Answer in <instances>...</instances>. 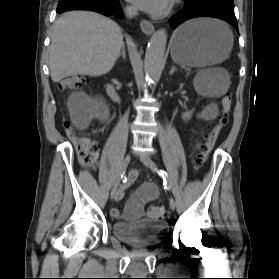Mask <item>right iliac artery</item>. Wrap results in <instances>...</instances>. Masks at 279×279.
Returning a JSON list of instances; mask_svg holds the SVG:
<instances>
[{
    "label": "right iliac artery",
    "mask_w": 279,
    "mask_h": 279,
    "mask_svg": "<svg viewBox=\"0 0 279 279\" xmlns=\"http://www.w3.org/2000/svg\"><path fill=\"white\" fill-rule=\"evenodd\" d=\"M125 189V187H121V193L119 194L122 197V192Z\"/></svg>",
    "instance_id": "82829eb1"
}]
</instances>
